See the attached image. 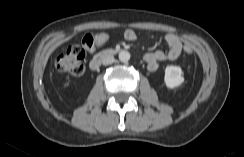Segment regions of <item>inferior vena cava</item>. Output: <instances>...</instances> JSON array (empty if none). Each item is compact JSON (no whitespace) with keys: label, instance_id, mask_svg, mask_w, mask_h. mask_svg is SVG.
<instances>
[{"label":"inferior vena cava","instance_id":"1","mask_svg":"<svg viewBox=\"0 0 244 157\" xmlns=\"http://www.w3.org/2000/svg\"><path fill=\"white\" fill-rule=\"evenodd\" d=\"M115 61L113 55H105L102 59L103 65H109L112 64Z\"/></svg>","mask_w":244,"mask_h":157}]
</instances>
